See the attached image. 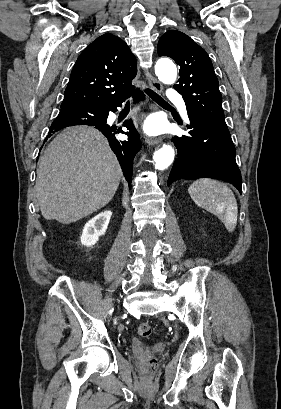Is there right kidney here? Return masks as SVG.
Instances as JSON below:
<instances>
[{
    "mask_svg": "<svg viewBox=\"0 0 281 409\" xmlns=\"http://www.w3.org/2000/svg\"><path fill=\"white\" fill-rule=\"evenodd\" d=\"M111 215V211H104L86 223L80 237L82 245L92 247L101 235H105Z\"/></svg>",
    "mask_w": 281,
    "mask_h": 409,
    "instance_id": "1",
    "label": "right kidney"
}]
</instances>
